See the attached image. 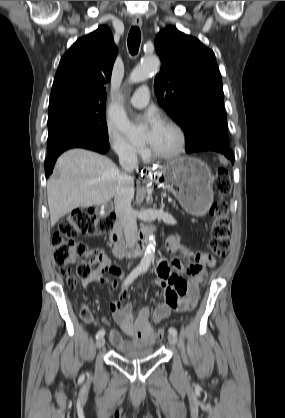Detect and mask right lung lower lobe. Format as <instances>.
<instances>
[{"label":"right lung lower lobe","instance_id":"obj_1","mask_svg":"<svg viewBox=\"0 0 285 418\" xmlns=\"http://www.w3.org/2000/svg\"><path fill=\"white\" fill-rule=\"evenodd\" d=\"M70 148H86L89 150L97 151L99 153H105L109 149V142L91 138H78L61 144L60 146L49 152L45 159L46 177H49V175L52 173L57 157L62 152Z\"/></svg>","mask_w":285,"mask_h":418}]
</instances>
